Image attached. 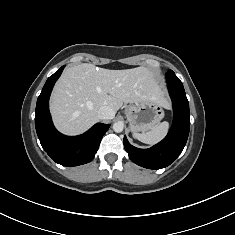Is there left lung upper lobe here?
<instances>
[{"mask_svg":"<svg viewBox=\"0 0 235 235\" xmlns=\"http://www.w3.org/2000/svg\"><path fill=\"white\" fill-rule=\"evenodd\" d=\"M166 74H174V72L172 70H170Z\"/></svg>","mask_w":235,"mask_h":235,"instance_id":"obj_1","label":"left lung upper lobe"}]
</instances>
